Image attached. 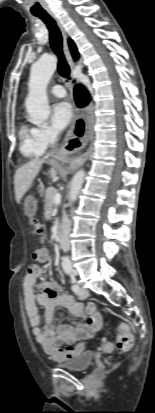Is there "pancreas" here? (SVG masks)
Segmentation results:
<instances>
[{
  "instance_id": "1",
  "label": "pancreas",
  "mask_w": 155,
  "mask_h": 413,
  "mask_svg": "<svg viewBox=\"0 0 155 413\" xmlns=\"http://www.w3.org/2000/svg\"><path fill=\"white\" fill-rule=\"evenodd\" d=\"M56 193H57V190L53 187H50L45 191V195H44V198H45V200H44L45 201V216H46L47 219H49L50 216H51L52 207H53V204H54L53 199H54V196H55Z\"/></svg>"
}]
</instances>
